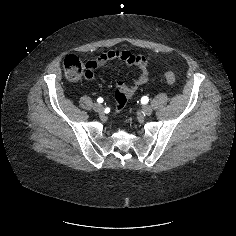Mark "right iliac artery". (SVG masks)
Returning <instances> with one entry per match:
<instances>
[{"label":"right iliac artery","instance_id":"1","mask_svg":"<svg viewBox=\"0 0 236 236\" xmlns=\"http://www.w3.org/2000/svg\"><path fill=\"white\" fill-rule=\"evenodd\" d=\"M97 102H98V103H102V102H103V98L99 97V98L97 99Z\"/></svg>","mask_w":236,"mask_h":236}]
</instances>
